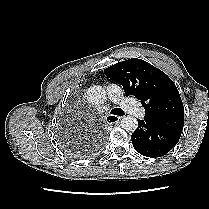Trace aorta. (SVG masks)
I'll list each match as a JSON object with an SVG mask.
<instances>
[{"label": "aorta", "instance_id": "762f6f07", "mask_svg": "<svg viewBox=\"0 0 209 209\" xmlns=\"http://www.w3.org/2000/svg\"><path fill=\"white\" fill-rule=\"evenodd\" d=\"M87 100L94 105H101L106 100V91L102 86L93 85L90 86L86 91ZM121 127L126 130L133 132L138 127L136 118L131 116H125L120 121Z\"/></svg>", "mask_w": 209, "mask_h": 209}]
</instances>
